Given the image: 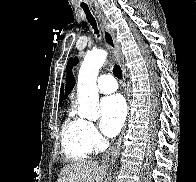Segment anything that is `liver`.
<instances>
[{"mask_svg":"<svg viewBox=\"0 0 196 182\" xmlns=\"http://www.w3.org/2000/svg\"><path fill=\"white\" fill-rule=\"evenodd\" d=\"M106 170L96 161L72 163L60 171L57 182H103Z\"/></svg>","mask_w":196,"mask_h":182,"instance_id":"liver-1","label":"liver"}]
</instances>
